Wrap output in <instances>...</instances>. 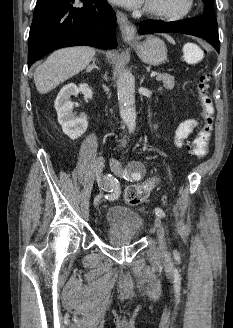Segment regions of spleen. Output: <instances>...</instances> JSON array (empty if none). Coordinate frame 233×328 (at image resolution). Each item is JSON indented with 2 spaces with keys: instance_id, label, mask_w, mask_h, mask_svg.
<instances>
[{
  "instance_id": "3e777b00",
  "label": "spleen",
  "mask_w": 233,
  "mask_h": 328,
  "mask_svg": "<svg viewBox=\"0 0 233 328\" xmlns=\"http://www.w3.org/2000/svg\"><path fill=\"white\" fill-rule=\"evenodd\" d=\"M187 49H191L196 55H200V51L198 49V47L192 43H188L185 46Z\"/></svg>"
}]
</instances>
